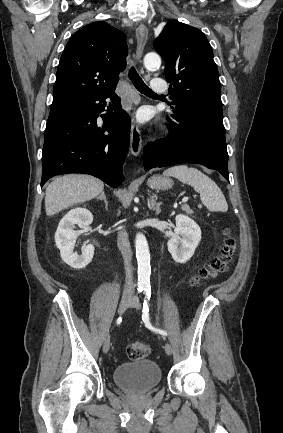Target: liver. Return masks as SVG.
Wrapping results in <instances>:
<instances>
[{"label": "liver", "instance_id": "6515ba94", "mask_svg": "<svg viewBox=\"0 0 283 433\" xmlns=\"http://www.w3.org/2000/svg\"><path fill=\"white\" fill-rule=\"evenodd\" d=\"M104 188V182L89 174H65L55 178L46 188L45 208L48 217L78 202L91 200Z\"/></svg>", "mask_w": 283, "mask_h": 433}]
</instances>
